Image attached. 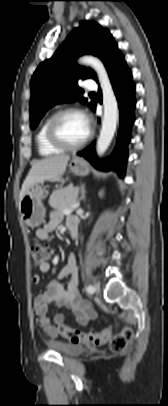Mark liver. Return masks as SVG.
I'll use <instances>...</instances> for the list:
<instances>
[{
  "label": "liver",
  "mask_w": 168,
  "mask_h": 406,
  "mask_svg": "<svg viewBox=\"0 0 168 406\" xmlns=\"http://www.w3.org/2000/svg\"><path fill=\"white\" fill-rule=\"evenodd\" d=\"M69 155L47 157L33 163L19 194L20 201L26 192L35 184L48 180H58L66 171Z\"/></svg>",
  "instance_id": "1"
}]
</instances>
